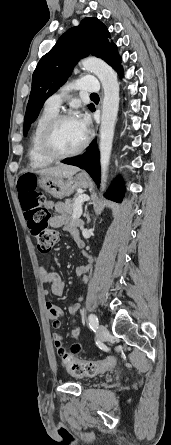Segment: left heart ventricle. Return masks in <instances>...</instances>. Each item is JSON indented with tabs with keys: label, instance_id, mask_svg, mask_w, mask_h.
I'll list each match as a JSON object with an SVG mask.
<instances>
[{
	"label": "left heart ventricle",
	"instance_id": "left-heart-ventricle-1",
	"mask_svg": "<svg viewBox=\"0 0 171 445\" xmlns=\"http://www.w3.org/2000/svg\"><path fill=\"white\" fill-rule=\"evenodd\" d=\"M86 137L77 119L60 123L52 135V146L58 152H70L77 149Z\"/></svg>",
	"mask_w": 171,
	"mask_h": 445
}]
</instances>
